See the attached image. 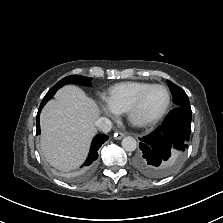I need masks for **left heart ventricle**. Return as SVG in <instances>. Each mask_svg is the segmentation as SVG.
I'll list each match as a JSON object with an SVG mask.
<instances>
[{
    "label": "left heart ventricle",
    "instance_id": "obj_1",
    "mask_svg": "<svg viewBox=\"0 0 223 223\" xmlns=\"http://www.w3.org/2000/svg\"><path fill=\"white\" fill-rule=\"evenodd\" d=\"M167 96L162 88L152 89L144 98L136 117L141 120L158 115L165 106Z\"/></svg>",
    "mask_w": 223,
    "mask_h": 223
}]
</instances>
